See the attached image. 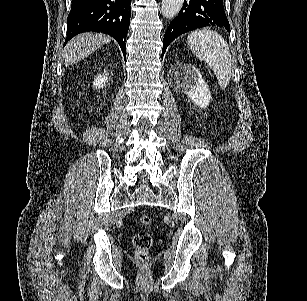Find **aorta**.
Segmentation results:
<instances>
[{
	"mask_svg": "<svg viewBox=\"0 0 307 301\" xmlns=\"http://www.w3.org/2000/svg\"><path fill=\"white\" fill-rule=\"evenodd\" d=\"M184 0H162V14L165 18H174L181 10Z\"/></svg>",
	"mask_w": 307,
	"mask_h": 301,
	"instance_id": "obj_1",
	"label": "aorta"
}]
</instances>
